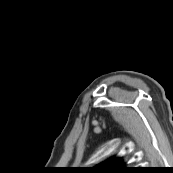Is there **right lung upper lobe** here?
Returning a JSON list of instances; mask_svg holds the SVG:
<instances>
[{
    "instance_id": "1",
    "label": "right lung upper lobe",
    "mask_w": 173,
    "mask_h": 173,
    "mask_svg": "<svg viewBox=\"0 0 173 173\" xmlns=\"http://www.w3.org/2000/svg\"><path fill=\"white\" fill-rule=\"evenodd\" d=\"M96 173H126L130 171L125 167L119 158L109 159L93 168Z\"/></svg>"
}]
</instances>
